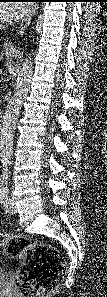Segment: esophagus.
Returning a JSON list of instances; mask_svg holds the SVG:
<instances>
[{"label":"esophagus","instance_id":"esophagus-1","mask_svg":"<svg viewBox=\"0 0 107 297\" xmlns=\"http://www.w3.org/2000/svg\"><path fill=\"white\" fill-rule=\"evenodd\" d=\"M37 8H38V6L36 4H32L26 18L20 24L19 31H18L19 35H22L24 33V31L26 30V28L29 26L31 19L35 15Z\"/></svg>","mask_w":107,"mask_h":297}]
</instances>
